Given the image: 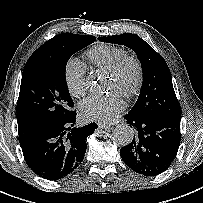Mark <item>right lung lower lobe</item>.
I'll use <instances>...</instances> for the list:
<instances>
[{"label": "right lung lower lobe", "instance_id": "right-lung-lower-lobe-1", "mask_svg": "<svg viewBox=\"0 0 203 203\" xmlns=\"http://www.w3.org/2000/svg\"><path fill=\"white\" fill-rule=\"evenodd\" d=\"M76 112L59 121L19 134L27 165L40 177L59 180L72 173L84 159L86 139L97 128L90 123L74 128Z\"/></svg>", "mask_w": 203, "mask_h": 203}]
</instances>
